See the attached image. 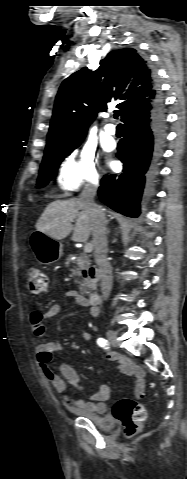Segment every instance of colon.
<instances>
[{
  "instance_id": "obj_1",
  "label": "colon",
  "mask_w": 187,
  "mask_h": 479,
  "mask_svg": "<svg viewBox=\"0 0 187 479\" xmlns=\"http://www.w3.org/2000/svg\"><path fill=\"white\" fill-rule=\"evenodd\" d=\"M26 289L31 294H40L47 290V277L37 267L27 270ZM112 414L122 423L127 436H134L139 432L142 422L146 419L145 406L131 398H121L113 406Z\"/></svg>"
}]
</instances>
